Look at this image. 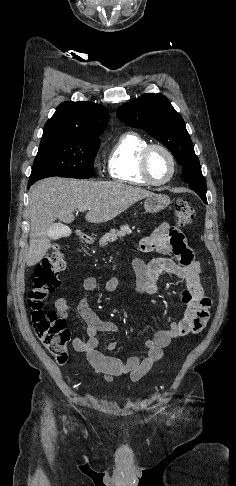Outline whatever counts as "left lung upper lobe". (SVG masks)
I'll list each match as a JSON object with an SVG mask.
<instances>
[{
	"mask_svg": "<svg viewBox=\"0 0 236 486\" xmlns=\"http://www.w3.org/2000/svg\"><path fill=\"white\" fill-rule=\"evenodd\" d=\"M117 117L131 127L144 129L163 143L182 166L183 179L207 204L206 184L183 118L166 96L147 93L117 110Z\"/></svg>",
	"mask_w": 236,
	"mask_h": 486,
	"instance_id": "obj_1",
	"label": "left lung upper lobe"
}]
</instances>
